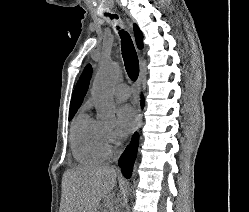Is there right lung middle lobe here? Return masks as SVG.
<instances>
[{
  "label": "right lung middle lobe",
  "instance_id": "1",
  "mask_svg": "<svg viewBox=\"0 0 249 212\" xmlns=\"http://www.w3.org/2000/svg\"><path fill=\"white\" fill-rule=\"evenodd\" d=\"M76 112H77V110H70L69 111V120H71L74 117V115L76 114Z\"/></svg>",
  "mask_w": 249,
  "mask_h": 212
}]
</instances>
